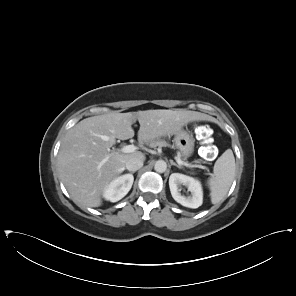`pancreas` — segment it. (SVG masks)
I'll use <instances>...</instances> for the list:
<instances>
[{
    "instance_id": "1",
    "label": "pancreas",
    "mask_w": 296,
    "mask_h": 296,
    "mask_svg": "<svg viewBox=\"0 0 296 296\" xmlns=\"http://www.w3.org/2000/svg\"><path fill=\"white\" fill-rule=\"evenodd\" d=\"M150 146L151 147H156V146L165 147V146H169V144L166 141L159 139V140H155V141L151 142Z\"/></svg>"
}]
</instances>
